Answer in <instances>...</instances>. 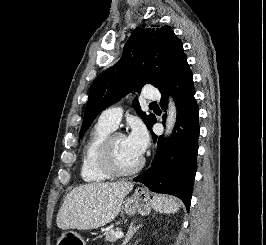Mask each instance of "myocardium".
Returning a JSON list of instances; mask_svg holds the SVG:
<instances>
[{
    "mask_svg": "<svg viewBox=\"0 0 266 245\" xmlns=\"http://www.w3.org/2000/svg\"><path fill=\"white\" fill-rule=\"evenodd\" d=\"M118 136H124L120 132H110L102 141L97 151V163L101 171L110 178H126L138 173L142 166L143 160L139 158L137 164L129 171H119L113 162L112 144L114 139Z\"/></svg>",
    "mask_w": 266,
    "mask_h": 245,
    "instance_id": "myocardium-1",
    "label": "myocardium"
}]
</instances>
